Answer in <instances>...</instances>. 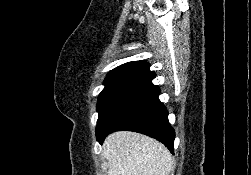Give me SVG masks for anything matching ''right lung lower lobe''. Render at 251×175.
Masks as SVG:
<instances>
[{
    "label": "right lung lower lobe",
    "mask_w": 251,
    "mask_h": 175,
    "mask_svg": "<svg viewBox=\"0 0 251 175\" xmlns=\"http://www.w3.org/2000/svg\"><path fill=\"white\" fill-rule=\"evenodd\" d=\"M159 94L160 88L152 79L130 86L106 111L96 128L97 140L102 143L114 131H135L157 139L173 153L175 132Z\"/></svg>",
    "instance_id": "1"
}]
</instances>
